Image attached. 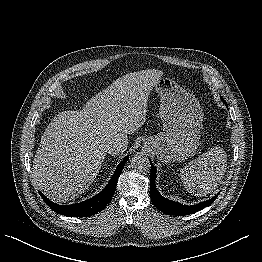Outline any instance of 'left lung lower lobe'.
<instances>
[{"label": "left lung lower lobe", "mask_w": 262, "mask_h": 262, "mask_svg": "<svg viewBox=\"0 0 262 262\" xmlns=\"http://www.w3.org/2000/svg\"><path fill=\"white\" fill-rule=\"evenodd\" d=\"M223 102L225 103V105H227L225 101ZM155 178H156V168L151 163V174H150L151 200L154 206L158 210L169 215L183 216V215H189L195 213L203 209L204 207L208 206L209 204H211L218 196L217 194L213 198L196 205H191V206L183 205L161 196L156 188Z\"/></svg>", "instance_id": "left-lung-lower-lobe-1"}]
</instances>
